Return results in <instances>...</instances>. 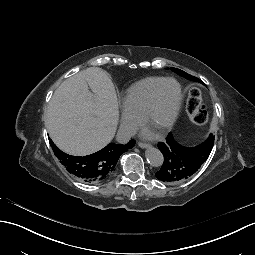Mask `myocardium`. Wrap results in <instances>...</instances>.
<instances>
[{
    "instance_id": "myocardium-1",
    "label": "myocardium",
    "mask_w": 255,
    "mask_h": 255,
    "mask_svg": "<svg viewBox=\"0 0 255 255\" xmlns=\"http://www.w3.org/2000/svg\"><path fill=\"white\" fill-rule=\"evenodd\" d=\"M167 83H173L176 85L177 87V99H176V103L174 106V109L170 115V117L168 118V120L164 123L162 131L159 135V137H165L174 127L181 107H182V100H183V94H182V88L181 85L172 78H167L164 79L157 87L156 89L153 91L151 98H150V102L146 108V110L143 112V114L141 115V117L139 118V125L140 126H144L145 122L153 115L156 106H157V100L159 97V94L163 88V86Z\"/></svg>"
}]
</instances>
